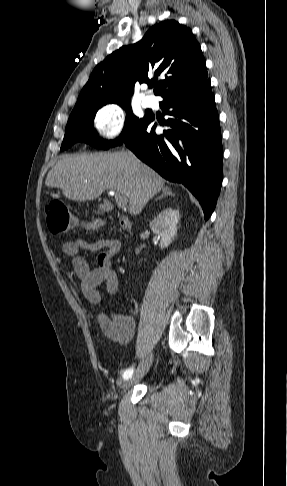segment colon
Segmentation results:
<instances>
[{"label":"colon","mask_w":287,"mask_h":486,"mask_svg":"<svg viewBox=\"0 0 287 486\" xmlns=\"http://www.w3.org/2000/svg\"><path fill=\"white\" fill-rule=\"evenodd\" d=\"M46 222L48 229L54 234L67 232L78 225V221L71 215L67 206L59 201L53 200L46 205ZM102 221L95 220L85 223L84 226L91 229H98Z\"/></svg>","instance_id":"5ec220e1"}]
</instances>
